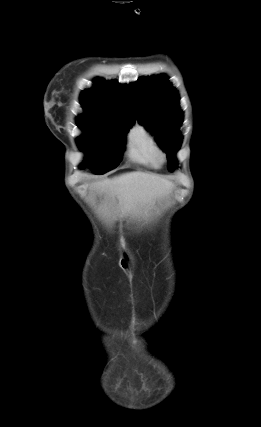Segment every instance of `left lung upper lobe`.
Returning <instances> with one entry per match:
<instances>
[{
	"label": "left lung upper lobe",
	"mask_w": 261,
	"mask_h": 427,
	"mask_svg": "<svg viewBox=\"0 0 261 427\" xmlns=\"http://www.w3.org/2000/svg\"><path fill=\"white\" fill-rule=\"evenodd\" d=\"M137 118L154 135L167 153L168 169L176 167L175 153L182 143L179 127L183 113L179 109V95L165 75L141 77L129 85Z\"/></svg>",
	"instance_id": "1"
}]
</instances>
